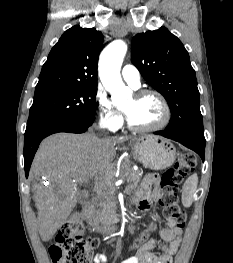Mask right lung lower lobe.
Here are the masks:
<instances>
[{
  "mask_svg": "<svg viewBox=\"0 0 233 263\" xmlns=\"http://www.w3.org/2000/svg\"><path fill=\"white\" fill-rule=\"evenodd\" d=\"M94 120L95 117L91 116L83 119L59 121L43 126L30 133H25L24 168L26 177H28L32 160L42 139L57 132L83 133L92 125Z\"/></svg>",
  "mask_w": 233,
  "mask_h": 263,
  "instance_id": "98d812e1",
  "label": "right lung lower lobe"
}]
</instances>
